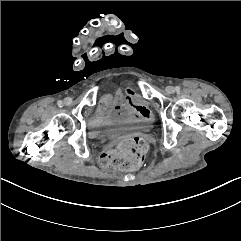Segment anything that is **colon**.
I'll use <instances>...</instances> for the list:
<instances>
[{
    "label": "colon",
    "mask_w": 241,
    "mask_h": 241,
    "mask_svg": "<svg viewBox=\"0 0 241 241\" xmlns=\"http://www.w3.org/2000/svg\"><path fill=\"white\" fill-rule=\"evenodd\" d=\"M149 150L147 142L142 138L132 137L121 140L117 146L102 152L98 162L102 167L115 169H133L142 165Z\"/></svg>",
    "instance_id": "5ec220e1"
}]
</instances>
